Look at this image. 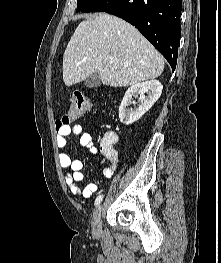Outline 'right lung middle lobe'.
Listing matches in <instances>:
<instances>
[{"label": "right lung middle lobe", "instance_id": "1", "mask_svg": "<svg viewBox=\"0 0 221 263\" xmlns=\"http://www.w3.org/2000/svg\"><path fill=\"white\" fill-rule=\"evenodd\" d=\"M104 0H77V12H91Z\"/></svg>", "mask_w": 221, "mask_h": 263}]
</instances>
